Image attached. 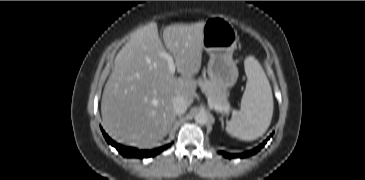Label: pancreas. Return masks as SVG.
<instances>
[{
	"instance_id": "pancreas-1",
	"label": "pancreas",
	"mask_w": 365,
	"mask_h": 180,
	"mask_svg": "<svg viewBox=\"0 0 365 180\" xmlns=\"http://www.w3.org/2000/svg\"><path fill=\"white\" fill-rule=\"evenodd\" d=\"M198 84L213 105H217L222 109L229 108L226 90L205 77L200 78Z\"/></svg>"
}]
</instances>
